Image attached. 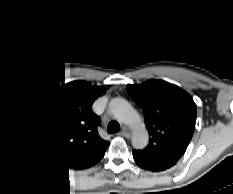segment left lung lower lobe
<instances>
[{"label": "left lung lower lobe", "instance_id": "0a47b994", "mask_svg": "<svg viewBox=\"0 0 233 194\" xmlns=\"http://www.w3.org/2000/svg\"><path fill=\"white\" fill-rule=\"evenodd\" d=\"M135 162L144 169L151 171H162L173 166L177 161L170 159L153 158L141 153L139 150L133 151Z\"/></svg>", "mask_w": 233, "mask_h": 194}]
</instances>
